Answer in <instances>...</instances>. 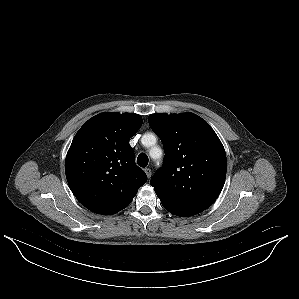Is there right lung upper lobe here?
I'll return each mask as SVG.
<instances>
[{
  "mask_svg": "<svg viewBox=\"0 0 299 299\" xmlns=\"http://www.w3.org/2000/svg\"><path fill=\"white\" fill-rule=\"evenodd\" d=\"M142 122L135 113H102L75 135L66 156V178L75 197L89 210L114 214L127 207L147 181L129 144Z\"/></svg>",
  "mask_w": 299,
  "mask_h": 299,
  "instance_id": "cb5924a9",
  "label": "right lung upper lobe"
}]
</instances>
